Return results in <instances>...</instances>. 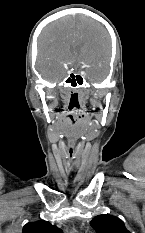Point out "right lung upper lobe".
<instances>
[{"label": "right lung upper lobe", "mask_w": 145, "mask_h": 233, "mask_svg": "<svg viewBox=\"0 0 145 233\" xmlns=\"http://www.w3.org/2000/svg\"><path fill=\"white\" fill-rule=\"evenodd\" d=\"M22 233H63V231L50 222L41 220L27 223Z\"/></svg>", "instance_id": "obj_1"}]
</instances>
